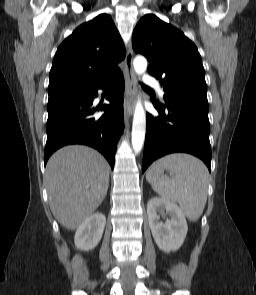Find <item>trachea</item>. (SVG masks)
<instances>
[{
  "label": "trachea",
  "mask_w": 256,
  "mask_h": 295,
  "mask_svg": "<svg viewBox=\"0 0 256 295\" xmlns=\"http://www.w3.org/2000/svg\"><path fill=\"white\" fill-rule=\"evenodd\" d=\"M143 88L151 90L149 87L145 86L144 84H141Z\"/></svg>",
  "instance_id": "trachea-1"
}]
</instances>
